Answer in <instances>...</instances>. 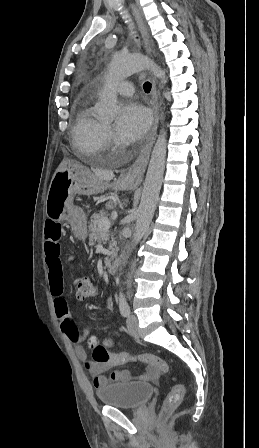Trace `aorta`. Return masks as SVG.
I'll return each mask as SVG.
<instances>
[{
  "label": "aorta",
  "mask_w": 259,
  "mask_h": 448,
  "mask_svg": "<svg viewBox=\"0 0 259 448\" xmlns=\"http://www.w3.org/2000/svg\"><path fill=\"white\" fill-rule=\"evenodd\" d=\"M144 69H151L153 74L163 84L167 83L165 72L144 55L131 54L116 55L114 57L109 65L105 84L98 93L97 111L101 118L113 120L117 115L118 106L115 85L126 77ZM166 149V131L162 129L151 154L138 209L132 247H135L141 241L152 221L163 181Z\"/></svg>",
  "instance_id": "762f6f07"
}]
</instances>
